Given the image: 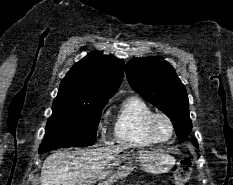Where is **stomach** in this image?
<instances>
[{
  "mask_svg": "<svg viewBox=\"0 0 233 185\" xmlns=\"http://www.w3.org/2000/svg\"><path fill=\"white\" fill-rule=\"evenodd\" d=\"M133 159L142 170L152 174H164L175 164L174 157L165 152L141 150L136 155L128 152L117 156L99 174L77 185H112L131 172Z\"/></svg>",
  "mask_w": 233,
  "mask_h": 185,
  "instance_id": "0dacf381",
  "label": "stomach"
}]
</instances>
